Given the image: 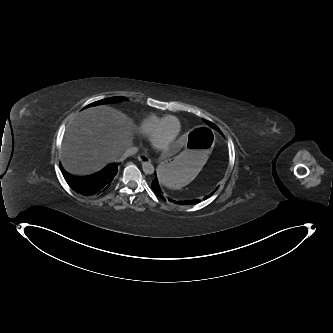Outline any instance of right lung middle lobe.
<instances>
[{"label": "right lung middle lobe", "mask_w": 333, "mask_h": 333, "mask_svg": "<svg viewBox=\"0 0 333 333\" xmlns=\"http://www.w3.org/2000/svg\"><path fill=\"white\" fill-rule=\"evenodd\" d=\"M124 99V97H111V98H106V99H102V100H99V101H96L90 105H88L87 107H90V106H96V105H99V104H104V103H114V102H119V101H122Z\"/></svg>", "instance_id": "dd1d6c3e"}]
</instances>
